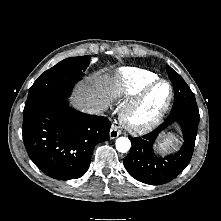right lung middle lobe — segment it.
Masks as SVG:
<instances>
[{
    "label": "right lung middle lobe",
    "instance_id": "dd1d6c3e",
    "mask_svg": "<svg viewBox=\"0 0 221 221\" xmlns=\"http://www.w3.org/2000/svg\"><path fill=\"white\" fill-rule=\"evenodd\" d=\"M90 62L89 56L62 60L45 71L30 88L23 111V122L47 106L66 99L75 83L81 80Z\"/></svg>",
    "mask_w": 221,
    "mask_h": 221
}]
</instances>
